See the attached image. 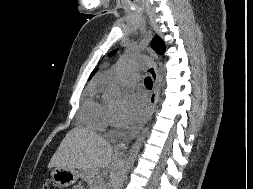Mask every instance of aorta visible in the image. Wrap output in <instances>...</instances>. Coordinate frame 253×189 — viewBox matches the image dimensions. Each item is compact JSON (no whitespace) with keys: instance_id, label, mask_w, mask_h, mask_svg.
Wrapping results in <instances>:
<instances>
[{"instance_id":"aorta-1","label":"aorta","mask_w":253,"mask_h":189,"mask_svg":"<svg viewBox=\"0 0 253 189\" xmlns=\"http://www.w3.org/2000/svg\"><path fill=\"white\" fill-rule=\"evenodd\" d=\"M150 63V58L147 56H139V57H131V56H123L117 66V72H124L132 68L142 69ZM104 100L105 103L112 108H119L124 103V95L117 86L115 81L109 82L105 86L104 91ZM145 139V131L142 132L140 136L137 137L136 141L132 144L126 163H125V171H129L138 156L142 143ZM115 189H119L118 185H114Z\"/></svg>"}]
</instances>
